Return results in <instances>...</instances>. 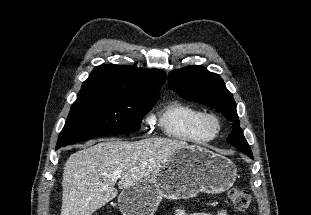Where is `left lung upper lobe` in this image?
<instances>
[{
	"instance_id": "left-lung-upper-lobe-1",
	"label": "left lung upper lobe",
	"mask_w": 311,
	"mask_h": 215,
	"mask_svg": "<svg viewBox=\"0 0 311 215\" xmlns=\"http://www.w3.org/2000/svg\"><path fill=\"white\" fill-rule=\"evenodd\" d=\"M168 85L184 99L220 110L228 120L234 123L227 142L253 158L250 146L239 126L236 103L218 74L209 72L201 66H187L171 71L168 76Z\"/></svg>"
}]
</instances>
